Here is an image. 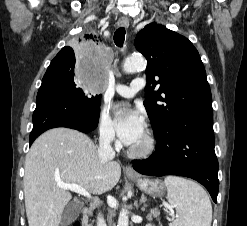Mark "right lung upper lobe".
Here are the masks:
<instances>
[{"label":"right lung upper lobe","mask_w":247,"mask_h":226,"mask_svg":"<svg viewBox=\"0 0 247 226\" xmlns=\"http://www.w3.org/2000/svg\"><path fill=\"white\" fill-rule=\"evenodd\" d=\"M100 37L95 35L92 31H90L89 33L85 34L83 39L93 43V45H96V42L101 41V39H99ZM98 44V43H97ZM73 54V50L71 47H64L61 49V51L56 55V57L52 60L50 66H53L56 61L62 57H68L70 55Z\"/></svg>","instance_id":"right-lung-upper-lobe-1"}]
</instances>
